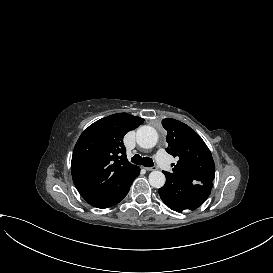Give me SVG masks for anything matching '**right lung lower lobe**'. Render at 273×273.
<instances>
[{
    "label": "right lung lower lobe",
    "instance_id": "obj_1",
    "mask_svg": "<svg viewBox=\"0 0 273 273\" xmlns=\"http://www.w3.org/2000/svg\"><path fill=\"white\" fill-rule=\"evenodd\" d=\"M138 175H139V173H138ZM138 175H137V176H138ZM131 184H132V183H131ZM131 184L128 185V186L125 188L124 192L121 194V196L119 197L118 201H117L115 204L119 203V202L127 195L128 191H129V189H130ZM115 204H114V205H115Z\"/></svg>",
    "mask_w": 273,
    "mask_h": 273
}]
</instances>
